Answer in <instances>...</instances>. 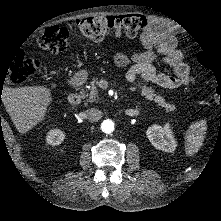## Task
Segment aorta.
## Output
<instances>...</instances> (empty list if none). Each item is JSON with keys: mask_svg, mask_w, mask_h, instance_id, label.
Here are the masks:
<instances>
[{"mask_svg": "<svg viewBox=\"0 0 221 221\" xmlns=\"http://www.w3.org/2000/svg\"><path fill=\"white\" fill-rule=\"evenodd\" d=\"M115 124L111 119H106L101 124V129L104 133L110 134L114 131Z\"/></svg>", "mask_w": 221, "mask_h": 221, "instance_id": "1", "label": "aorta"}]
</instances>
